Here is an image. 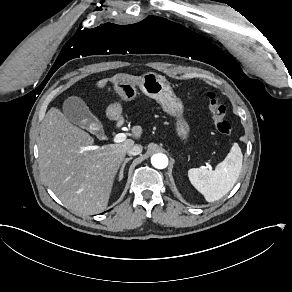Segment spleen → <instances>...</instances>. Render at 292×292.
Masks as SVG:
<instances>
[{
  "mask_svg": "<svg viewBox=\"0 0 292 292\" xmlns=\"http://www.w3.org/2000/svg\"><path fill=\"white\" fill-rule=\"evenodd\" d=\"M242 159L241 149L234 144L230 153L214 170L189 169L188 179L207 202L218 200L231 190L237 181L242 169Z\"/></svg>",
  "mask_w": 292,
  "mask_h": 292,
  "instance_id": "1",
  "label": "spleen"
}]
</instances>
